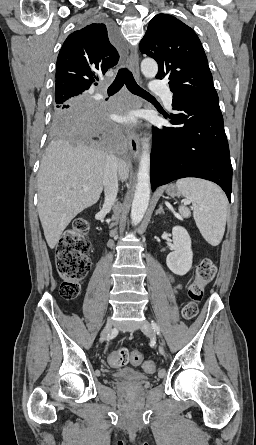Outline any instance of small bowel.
<instances>
[{
    "label": "small bowel",
    "mask_w": 256,
    "mask_h": 445,
    "mask_svg": "<svg viewBox=\"0 0 256 445\" xmlns=\"http://www.w3.org/2000/svg\"><path fill=\"white\" fill-rule=\"evenodd\" d=\"M169 280H170L171 284L173 285V287H174V289H175L176 291L179 290V289L181 288V285H180V284H177V283L175 282V280H174V278H173L172 275H169Z\"/></svg>",
    "instance_id": "1"
}]
</instances>
